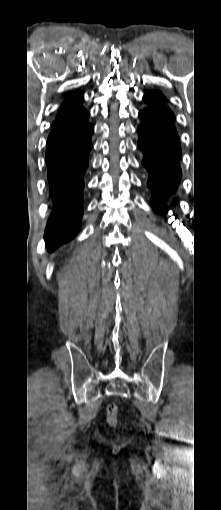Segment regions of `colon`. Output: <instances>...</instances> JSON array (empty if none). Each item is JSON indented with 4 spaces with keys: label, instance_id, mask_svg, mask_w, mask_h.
Returning <instances> with one entry per match:
<instances>
[{
    "label": "colon",
    "instance_id": "obj_1",
    "mask_svg": "<svg viewBox=\"0 0 221 510\" xmlns=\"http://www.w3.org/2000/svg\"><path fill=\"white\" fill-rule=\"evenodd\" d=\"M117 412L118 408L115 403H110L107 406V421L111 426H115L117 423Z\"/></svg>",
    "mask_w": 221,
    "mask_h": 510
}]
</instances>
